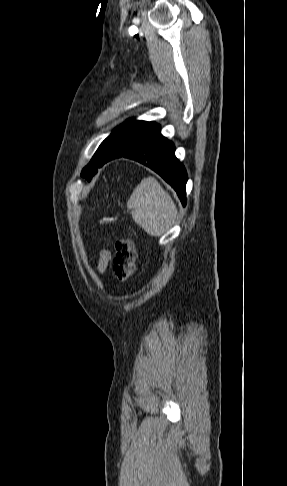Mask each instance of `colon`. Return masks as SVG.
<instances>
[{
    "label": "colon",
    "mask_w": 287,
    "mask_h": 486,
    "mask_svg": "<svg viewBox=\"0 0 287 486\" xmlns=\"http://www.w3.org/2000/svg\"><path fill=\"white\" fill-rule=\"evenodd\" d=\"M135 259L133 241L128 238H118L114 243L113 272L119 282H125L133 275Z\"/></svg>",
    "instance_id": "obj_1"
}]
</instances>
